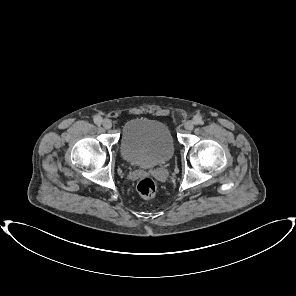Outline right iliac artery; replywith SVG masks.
Returning <instances> with one entry per match:
<instances>
[{"mask_svg": "<svg viewBox=\"0 0 296 296\" xmlns=\"http://www.w3.org/2000/svg\"><path fill=\"white\" fill-rule=\"evenodd\" d=\"M94 122L97 124V125H100L102 123V118L100 116H95L94 117Z\"/></svg>", "mask_w": 296, "mask_h": 296, "instance_id": "1", "label": "right iliac artery"}]
</instances>
